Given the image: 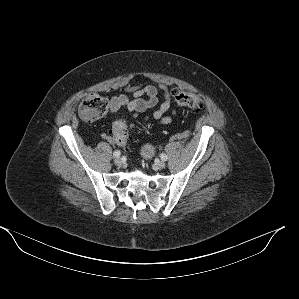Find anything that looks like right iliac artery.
Wrapping results in <instances>:
<instances>
[{
    "mask_svg": "<svg viewBox=\"0 0 299 299\" xmlns=\"http://www.w3.org/2000/svg\"><path fill=\"white\" fill-rule=\"evenodd\" d=\"M121 155V152L116 150L114 153H113V156L114 157H119Z\"/></svg>",
    "mask_w": 299,
    "mask_h": 299,
    "instance_id": "82829eb1",
    "label": "right iliac artery"
}]
</instances>
